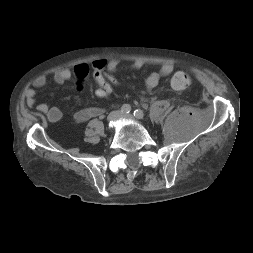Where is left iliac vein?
Segmentation results:
<instances>
[{"label":"left iliac vein","instance_id":"obj_1","mask_svg":"<svg viewBox=\"0 0 253 253\" xmlns=\"http://www.w3.org/2000/svg\"><path fill=\"white\" fill-rule=\"evenodd\" d=\"M124 118H125V119H129V120H132L134 117H133L132 114H126V115H124Z\"/></svg>","mask_w":253,"mask_h":253}]
</instances>
